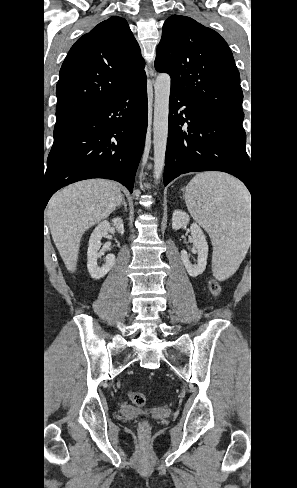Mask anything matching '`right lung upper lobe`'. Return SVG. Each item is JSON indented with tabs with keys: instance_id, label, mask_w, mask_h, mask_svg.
I'll use <instances>...</instances> for the list:
<instances>
[{
	"instance_id": "1",
	"label": "right lung upper lobe",
	"mask_w": 297,
	"mask_h": 488,
	"mask_svg": "<svg viewBox=\"0 0 297 488\" xmlns=\"http://www.w3.org/2000/svg\"><path fill=\"white\" fill-rule=\"evenodd\" d=\"M140 47L125 19L112 16L79 38L56 87L55 128L109 101L146 78Z\"/></svg>"
}]
</instances>
